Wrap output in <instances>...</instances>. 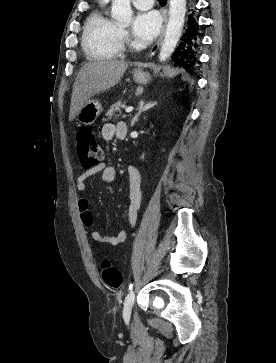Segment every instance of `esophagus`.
<instances>
[{
    "instance_id": "obj_1",
    "label": "esophagus",
    "mask_w": 276,
    "mask_h": 363,
    "mask_svg": "<svg viewBox=\"0 0 276 363\" xmlns=\"http://www.w3.org/2000/svg\"><path fill=\"white\" fill-rule=\"evenodd\" d=\"M166 21H167V14H165V16H164V25L162 27L161 34L159 36V39H158L157 43L150 50L149 57H152L157 52V50L159 49V47L161 45V42H162V39H163V36H164V30H165Z\"/></svg>"
}]
</instances>
